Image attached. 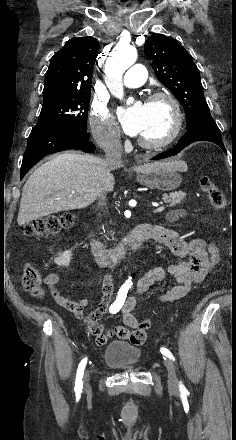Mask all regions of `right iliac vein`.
<instances>
[{
  "label": "right iliac vein",
  "instance_id": "right-iliac-vein-1",
  "mask_svg": "<svg viewBox=\"0 0 236 440\" xmlns=\"http://www.w3.org/2000/svg\"><path fill=\"white\" fill-rule=\"evenodd\" d=\"M89 379H90L89 371H86L83 379L85 388H88L89 386Z\"/></svg>",
  "mask_w": 236,
  "mask_h": 440
}]
</instances>
